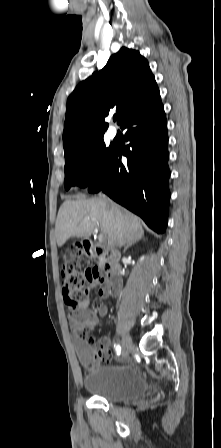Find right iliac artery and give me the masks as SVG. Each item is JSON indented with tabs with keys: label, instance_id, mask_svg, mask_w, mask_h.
<instances>
[{
	"label": "right iliac artery",
	"instance_id": "right-iliac-artery-1",
	"mask_svg": "<svg viewBox=\"0 0 221 448\" xmlns=\"http://www.w3.org/2000/svg\"><path fill=\"white\" fill-rule=\"evenodd\" d=\"M115 350H116L117 354L120 355V353H121L120 345H115Z\"/></svg>",
	"mask_w": 221,
	"mask_h": 448
}]
</instances>
